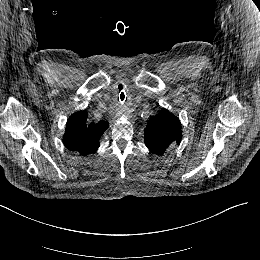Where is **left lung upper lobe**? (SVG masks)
Returning a JSON list of instances; mask_svg holds the SVG:
<instances>
[{
    "label": "left lung upper lobe",
    "mask_w": 260,
    "mask_h": 260,
    "mask_svg": "<svg viewBox=\"0 0 260 260\" xmlns=\"http://www.w3.org/2000/svg\"><path fill=\"white\" fill-rule=\"evenodd\" d=\"M144 134V143L149 150L154 154L162 155L180 143L181 124L175 115L162 108L156 116L149 119Z\"/></svg>",
    "instance_id": "5c2ea615"
}]
</instances>
